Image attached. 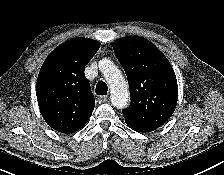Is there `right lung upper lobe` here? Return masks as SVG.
Wrapping results in <instances>:
<instances>
[{
    "mask_svg": "<svg viewBox=\"0 0 224 175\" xmlns=\"http://www.w3.org/2000/svg\"><path fill=\"white\" fill-rule=\"evenodd\" d=\"M99 47L90 39H72L52 51L42 65L37 100L43 118L53 129L74 133L89 120L95 99L84 68Z\"/></svg>",
    "mask_w": 224,
    "mask_h": 175,
    "instance_id": "1",
    "label": "right lung upper lobe"
}]
</instances>
